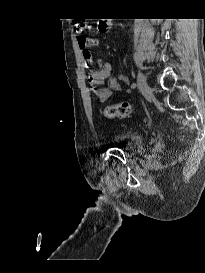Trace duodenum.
Returning <instances> with one entry per match:
<instances>
[{"label": "duodenum", "mask_w": 205, "mask_h": 273, "mask_svg": "<svg viewBox=\"0 0 205 273\" xmlns=\"http://www.w3.org/2000/svg\"><path fill=\"white\" fill-rule=\"evenodd\" d=\"M110 28V22L109 21H106V22H101L100 23V30L101 31H108Z\"/></svg>", "instance_id": "410a0bca"}]
</instances>
